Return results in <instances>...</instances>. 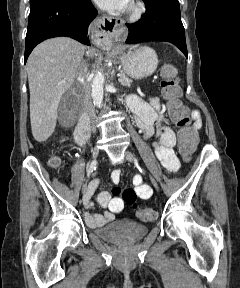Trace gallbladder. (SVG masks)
<instances>
[{"instance_id":"obj_1","label":"gallbladder","mask_w":240,"mask_h":288,"mask_svg":"<svg viewBox=\"0 0 240 288\" xmlns=\"http://www.w3.org/2000/svg\"><path fill=\"white\" fill-rule=\"evenodd\" d=\"M65 108H66V102H65V100H62V101L60 102V105H59V112H60V113H63V111L65 110Z\"/></svg>"}]
</instances>
